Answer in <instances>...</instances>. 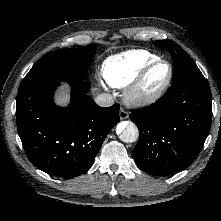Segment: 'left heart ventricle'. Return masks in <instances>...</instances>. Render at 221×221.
Listing matches in <instances>:
<instances>
[{"mask_svg":"<svg viewBox=\"0 0 221 221\" xmlns=\"http://www.w3.org/2000/svg\"><path fill=\"white\" fill-rule=\"evenodd\" d=\"M167 66L165 64H160L156 66L148 75L146 79V89L153 90L160 86L167 76Z\"/></svg>","mask_w":221,"mask_h":221,"instance_id":"1","label":"left heart ventricle"}]
</instances>
